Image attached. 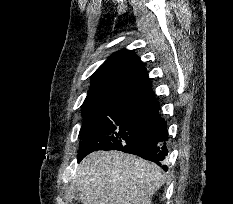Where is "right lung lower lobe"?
Returning <instances> with one entry per match:
<instances>
[{
	"label": "right lung lower lobe",
	"mask_w": 233,
	"mask_h": 204,
	"mask_svg": "<svg viewBox=\"0 0 233 204\" xmlns=\"http://www.w3.org/2000/svg\"><path fill=\"white\" fill-rule=\"evenodd\" d=\"M152 103L158 108L159 104L157 102L152 101ZM168 139V133L165 129L158 135L150 136L134 143L125 145L119 149L126 153L138 155L146 160L153 161L161 166V161L164 160L165 156L167 155V147L165 145V141ZM96 150H108L105 148H98V147H89L88 145H83L80 147L78 153V160L84 158L87 154L96 151ZM163 169L166 170V166H162Z\"/></svg>",
	"instance_id": "obj_1"
}]
</instances>
